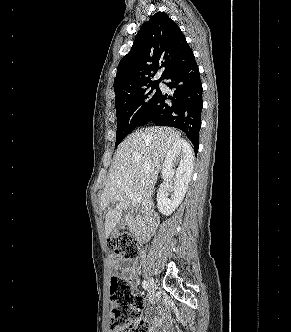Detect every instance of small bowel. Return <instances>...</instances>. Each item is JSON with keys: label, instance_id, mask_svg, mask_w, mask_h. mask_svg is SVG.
Listing matches in <instances>:
<instances>
[{"label": "small bowel", "instance_id": "1", "mask_svg": "<svg viewBox=\"0 0 291 332\" xmlns=\"http://www.w3.org/2000/svg\"><path fill=\"white\" fill-rule=\"evenodd\" d=\"M111 263L114 269L122 270L125 274H127L131 279H134V266L127 264L123 261H120L114 257H111ZM154 322L158 325H162L163 321L161 317L158 315L154 317Z\"/></svg>", "mask_w": 291, "mask_h": 332}]
</instances>
